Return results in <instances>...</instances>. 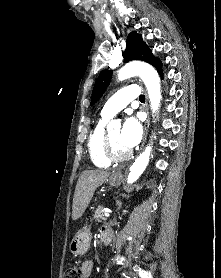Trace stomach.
Masks as SVG:
<instances>
[{
    "label": "stomach",
    "instance_id": "1",
    "mask_svg": "<svg viewBox=\"0 0 221 278\" xmlns=\"http://www.w3.org/2000/svg\"><path fill=\"white\" fill-rule=\"evenodd\" d=\"M122 177L117 174H112L108 179V183L112 186L119 185ZM91 233L89 229L80 230L72 239L69 249L74 255H84L90 246Z\"/></svg>",
    "mask_w": 221,
    "mask_h": 278
}]
</instances>
